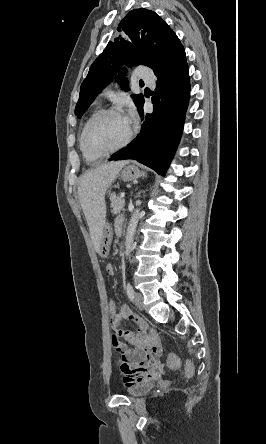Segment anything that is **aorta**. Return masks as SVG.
Segmentation results:
<instances>
[{
  "label": "aorta",
  "instance_id": "1",
  "mask_svg": "<svg viewBox=\"0 0 266 444\" xmlns=\"http://www.w3.org/2000/svg\"><path fill=\"white\" fill-rule=\"evenodd\" d=\"M139 216H140V209H136L129 221L128 224V228H127V232H126V239H125V247H126V255H128L130 253V250L133 247V243H134V236L136 233V228H137V224L139 221Z\"/></svg>",
  "mask_w": 266,
  "mask_h": 444
}]
</instances>
